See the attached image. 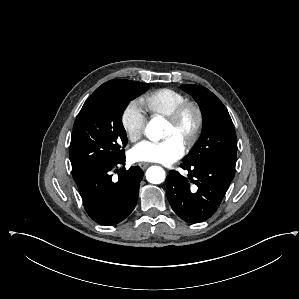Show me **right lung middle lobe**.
Wrapping results in <instances>:
<instances>
[{"label": "right lung middle lobe", "instance_id": "dd1d6c3e", "mask_svg": "<svg viewBox=\"0 0 299 299\" xmlns=\"http://www.w3.org/2000/svg\"><path fill=\"white\" fill-rule=\"evenodd\" d=\"M148 84L124 81L95 91L85 102L73 126L70 160L75 181L107 167L124 155L127 136L122 114Z\"/></svg>", "mask_w": 299, "mask_h": 299}]
</instances>
